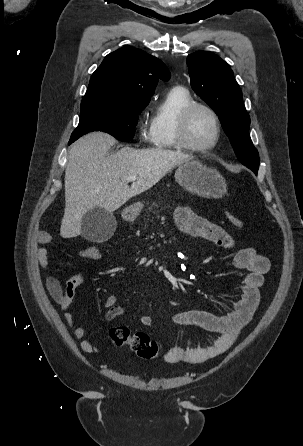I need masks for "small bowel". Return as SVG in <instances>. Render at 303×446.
<instances>
[{"label": "small bowel", "instance_id": "obj_1", "mask_svg": "<svg viewBox=\"0 0 303 446\" xmlns=\"http://www.w3.org/2000/svg\"><path fill=\"white\" fill-rule=\"evenodd\" d=\"M175 222L181 232L191 237L211 241L226 249H234L232 237L219 225L195 214L187 207H179L175 212ZM52 237L47 232L38 236L40 247L36 251V258L43 269H48V245ZM231 264L247 272L242 287V293L236 302L233 311L226 315H215L201 310H189L177 313L174 321L178 325L200 328L216 336L206 347L185 348L172 346L164 354V359L171 363L200 364L224 353L236 341L241 330L250 322L258 306L259 289L263 284L264 276L269 271V260L258 254L251 247L240 248L235 251ZM86 279L84 272H78L68 279L65 286L53 277L46 278V287L54 301L60 306L64 320L70 327L73 336L81 340L80 348L86 353H97L100 348L91 341L84 339L85 329L76 325L73 314L68 310L76 294V289ZM105 317L111 321L124 314V309L117 305V297L109 296L105 301ZM153 303L148 305V311L140 317L143 326H150L153 322L151 310Z\"/></svg>", "mask_w": 303, "mask_h": 446}]
</instances>
